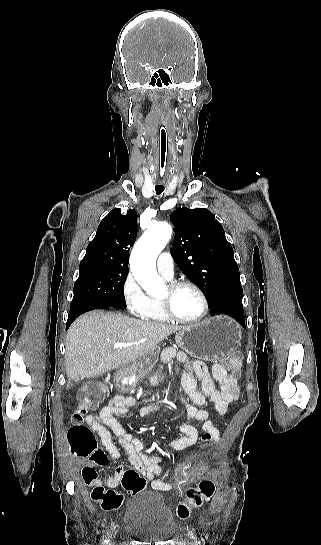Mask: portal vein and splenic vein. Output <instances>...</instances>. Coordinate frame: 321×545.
Masks as SVG:
<instances>
[{
    "label": "portal vein and splenic vein",
    "instance_id": "portal-vein-and-splenic-vein-1",
    "mask_svg": "<svg viewBox=\"0 0 321 545\" xmlns=\"http://www.w3.org/2000/svg\"><path fill=\"white\" fill-rule=\"evenodd\" d=\"M131 345H135V343H115L114 349H122V347H131Z\"/></svg>",
    "mask_w": 321,
    "mask_h": 545
}]
</instances>
